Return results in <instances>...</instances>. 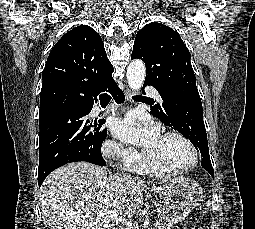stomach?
I'll return each mask as SVG.
<instances>
[{
	"label": "stomach",
	"mask_w": 255,
	"mask_h": 229,
	"mask_svg": "<svg viewBox=\"0 0 255 229\" xmlns=\"http://www.w3.org/2000/svg\"><path fill=\"white\" fill-rule=\"evenodd\" d=\"M150 190L163 197L159 218L169 224L183 221L203 199L201 186L186 176L174 177L165 185Z\"/></svg>",
	"instance_id": "1"
}]
</instances>
